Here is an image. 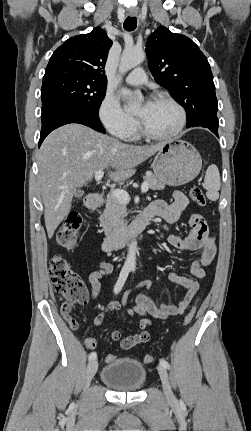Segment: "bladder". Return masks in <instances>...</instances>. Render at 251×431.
I'll use <instances>...</instances> for the list:
<instances>
[{
	"label": "bladder",
	"instance_id": "31cf9c89",
	"mask_svg": "<svg viewBox=\"0 0 251 431\" xmlns=\"http://www.w3.org/2000/svg\"><path fill=\"white\" fill-rule=\"evenodd\" d=\"M101 381L122 392H134L141 389L146 381V370L137 360L120 358L107 364L101 371Z\"/></svg>",
	"mask_w": 251,
	"mask_h": 431
}]
</instances>
